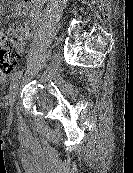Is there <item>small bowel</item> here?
Here are the masks:
<instances>
[{
	"mask_svg": "<svg viewBox=\"0 0 133 173\" xmlns=\"http://www.w3.org/2000/svg\"><path fill=\"white\" fill-rule=\"evenodd\" d=\"M46 0H23L14 10V15L20 16L26 14L28 22L23 29L13 27L9 30L10 34H18L22 38L30 36L39 22L42 15V8ZM9 39L4 33L0 32V47L5 46ZM23 45V43H22Z\"/></svg>",
	"mask_w": 133,
	"mask_h": 173,
	"instance_id": "small-bowel-1",
	"label": "small bowel"
}]
</instances>
